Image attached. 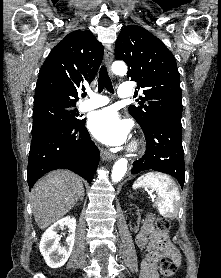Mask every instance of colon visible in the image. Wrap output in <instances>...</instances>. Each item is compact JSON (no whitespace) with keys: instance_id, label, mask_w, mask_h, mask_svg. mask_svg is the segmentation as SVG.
Returning <instances> with one entry per match:
<instances>
[{"instance_id":"obj_1","label":"colon","mask_w":221,"mask_h":278,"mask_svg":"<svg viewBox=\"0 0 221 278\" xmlns=\"http://www.w3.org/2000/svg\"><path fill=\"white\" fill-rule=\"evenodd\" d=\"M154 225L158 230L162 232H166L170 228V223L168 219L164 217H156L154 221ZM159 266L163 275L171 276L176 272L178 264L172 258H163L161 259Z\"/></svg>"}]
</instances>
